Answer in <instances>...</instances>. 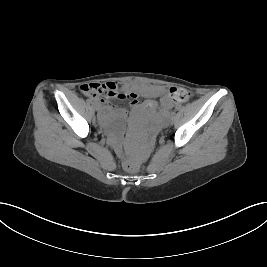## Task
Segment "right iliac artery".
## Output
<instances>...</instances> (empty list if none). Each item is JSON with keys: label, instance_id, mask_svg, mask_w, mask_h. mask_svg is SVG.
<instances>
[{"label": "right iliac artery", "instance_id": "obj_1", "mask_svg": "<svg viewBox=\"0 0 267 267\" xmlns=\"http://www.w3.org/2000/svg\"><path fill=\"white\" fill-rule=\"evenodd\" d=\"M92 105H94L95 104V102L94 101H92L91 99H89L88 100Z\"/></svg>", "mask_w": 267, "mask_h": 267}]
</instances>
